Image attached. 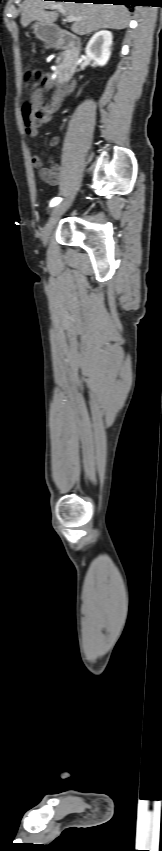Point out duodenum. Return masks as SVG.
<instances>
[{"mask_svg": "<svg viewBox=\"0 0 162 851\" xmlns=\"http://www.w3.org/2000/svg\"><path fill=\"white\" fill-rule=\"evenodd\" d=\"M49 43L53 47L65 48L68 51L66 67L61 72V80L64 83L69 80L78 67L81 54V42L79 38L63 29H55L49 35Z\"/></svg>", "mask_w": 162, "mask_h": 851, "instance_id": "410a0bca", "label": "duodenum"}]
</instances>
